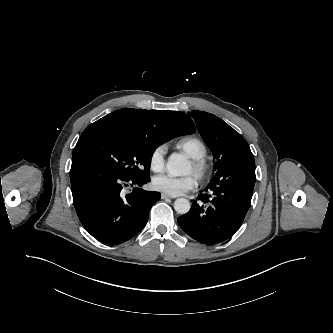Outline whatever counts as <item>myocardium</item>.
<instances>
[{
    "label": "myocardium",
    "instance_id": "f54148a6",
    "mask_svg": "<svg viewBox=\"0 0 333 333\" xmlns=\"http://www.w3.org/2000/svg\"><path fill=\"white\" fill-rule=\"evenodd\" d=\"M191 164L193 167V174L200 182L204 181L210 173V163L205 157L192 158Z\"/></svg>",
    "mask_w": 333,
    "mask_h": 333
}]
</instances>
